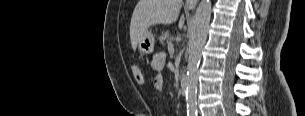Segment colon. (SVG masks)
Masks as SVG:
<instances>
[{
  "mask_svg": "<svg viewBox=\"0 0 305 116\" xmlns=\"http://www.w3.org/2000/svg\"><path fill=\"white\" fill-rule=\"evenodd\" d=\"M131 71H132V75H133L134 80L139 85H144L145 84V79H144V76H143L141 70L137 66H132Z\"/></svg>",
  "mask_w": 305,
  "mask_h": 116,
  "instance_id": "5ec220e1",
  "label": "colon"
}]
</instances>
